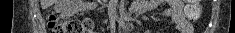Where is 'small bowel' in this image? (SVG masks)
Masks as SVG:
<instances>
[{"label":"small bowel","instance_id":"c3829d8e","mask_svg":"<svg viewBox=\"0 0 235 33\" xmlns=\"http://www.w3.org/2000/svg\"><path fill=\"white\" fill-rule=\"evenodd\" d=\"M161 3L160 0H140L133 5L136 14L155 10ZM168 7L161 15L169 17L178 33H192L193 29L184 13V3L181 0H168Z\"/></svg>","mask_w":235,"mask_h":33}]
</instances>
